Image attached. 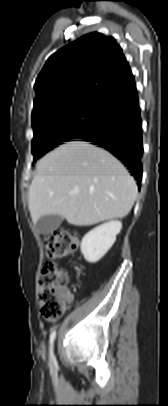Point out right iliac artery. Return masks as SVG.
I'll use <instances>...</instances> for the list:
<instances>
[{"mask_svg":"<svg viewBox=\"0 0 168 406\" xmlns=\"http://www.w3.org/2000/svg\"><path fill=\"white\" fill-rule=\"evenodd\" d=\"M55 337H56V331L54 330V331H52V333L50 335V340H49L51 358L53 357V343H54Z\"/></svg>","mask_w":168,"mask_h":406,"instance_id":"1","label":"right iliac artery"}]
</instances>
